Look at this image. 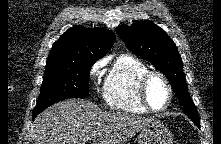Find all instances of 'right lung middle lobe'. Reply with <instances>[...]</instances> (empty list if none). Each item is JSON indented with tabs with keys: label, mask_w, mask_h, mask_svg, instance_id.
I'll return each mask as SVG.
<instances>
[{
	"label": "right lung middle lobe",
	"mask_w": 221,
	"mask_h": 144,
	"mask_svg": "<svg viewBox=\"0 0 221 144\" xmlns=\"http://www.w3.org/2000/svg\"><path fill=\"white\" fill-rule=\"evenodd\" d=\"M94 62L46 63L41 92L33 111L38 115L54 103L89 94L88 80Z\"/></svg>",
	"instance_id": "obj_1"
}]
</instances>
